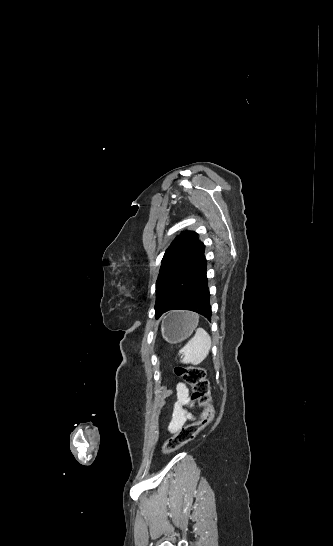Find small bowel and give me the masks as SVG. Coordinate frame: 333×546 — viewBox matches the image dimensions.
<instances>
[{
    "label": "small bowel",
    "mask_w": 333,
    "mask_h": 546,
    "mask_svg": "<svg viewBox=\"0 0 333 546\" xmlns=\"http://www.w3.org/2000/svg\"><path fill=\"white\" fill-rule=\"evenodd\" d=\"M177 402L174 405L171 421L168 426L170 433H176L188 421L193 420L194 416L187 409L190 405L189 391L185 384L179 383L176 387Z\"/></svg>",
    "instance_id": "1"
}]
</instances>
